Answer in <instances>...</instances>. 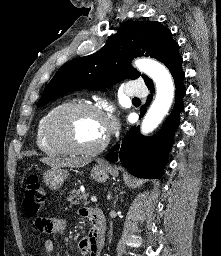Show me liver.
Here are the masks:
<instances>
[{
  "mask_svg": "<svg viewBox=\"0 0 221 256\" xmlns=\"http://www.w3.org/2000/svg\"><path fill=\"white\" fill-rule=\"evenodd\" d=\"M40 161L52 168L61 167H82L89 163L86 159L69 157V158H56V157H44Z\"/></svg>",
  "mask_w": 221,
  "mask_h": 256,
  "instance_id": "liver-1",
  "label": "liver"
}]
</instances>
